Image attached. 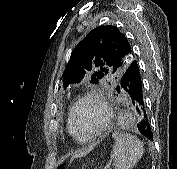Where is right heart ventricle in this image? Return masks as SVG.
Segmentation results:
<instances>
[{
    "label": "right heart ventricle",
    "instance_id": "obj_1",
    "mask_svg": "<svg viewBox=\"0 0 177 169\" xmlns=\"http://www.w3.org/2000/svg\"><path fill=\"white\" fill-rule=\"evenodd\" d=\"M67 130L70 136L73 137L76 141L81 142V143L88 142V141H81L74 135L72 128H71V124H70V111L68 113V119H67Z\"/></svg>",
    "mask_w": 177,
    "mask_h": 169
}]
</instances>
